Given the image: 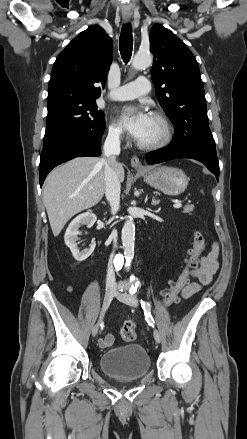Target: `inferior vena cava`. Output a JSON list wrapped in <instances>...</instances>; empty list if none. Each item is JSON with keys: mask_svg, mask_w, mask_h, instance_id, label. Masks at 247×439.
Returning <instances> with one entry per match:
<instances>
[{"mask_svg": "<svg viewBox=\"0 0 247 439\" xmlns=\"http://www.w3.org/2000/svg\"><path fill=\"white\" fill-rule=\"evenodd\" d=\"M103 151L105 156L107 157L106 167H105V194L106 198L111 206V211L115 214L119 209L120 204V180L117 173L118 162L116 161V155L120 153V140L119 133L116 131H109L108 136L105 140ZM111 237L114 241V248L117 246V231L113 230L111 233ZM112 258L113 253L110 256L108 269H107V278H106V287L107 288H115V273L112 266Z\"/></svg>", "mask_w": 247, "mask_h": 439, "instance_id": "obj_1", "label": "inferior vena cava"}]
</instances>
